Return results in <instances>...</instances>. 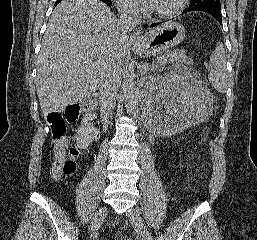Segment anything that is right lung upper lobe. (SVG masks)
Listing matches in <instances>:
<instances>
[{
    "mask_svg": "<svg viewBox=\"0 0 257 240\" xmlns=\"http://www.w3.org/2000/svg\"><path fill=\"white\" fill-rule=\"evenodd\" d=\"M60 1H61V0H58V1L56 2V4H58ZM104 1H106V0H104Z\"/></svg>",
    "mask_w": 257,
    "mask_h": 240,
    "instance_id": "cb5924a9",
    "label": "right lung upper lobe"
}]
</instances>
